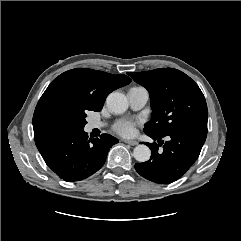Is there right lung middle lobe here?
Returning <instances> with one entry per match:
<instances>
[{"mask_svg":"<svg viewBox=\"0 0 241 241\" xmlns=\"http://www.w3.org/2000/svg\"><path fill=\"white\" fill-rule=\"evenodd\" d=\"M85 117L86 114L73 115L65 112H56L45 119L42 130L46 132L66 128L83 129L87 123Z\"/></svg>","mask_w":241,"mask_h":241,"instance_id":"right-lung-middle-lobe-1","label":"right lung middle lobe"}]
</instances>
